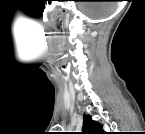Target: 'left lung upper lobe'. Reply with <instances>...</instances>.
Returning <instances> with one entry per match:
<instances>
[{"mask_svg":"<svg viewBox=\"0 0 145 134\" xmlns=\"http://www.w3.org/2000/svg\"><path fill=\"white\" fill-rule=\"evenodd\" d=\"M103 133L105 132L102 130V127L98 122L91 120V117L89 115L84 116L82 134H103Z\"/></svg>","mask_w":145,"mask_h":134,"instance_id":"1","label":"left lung upper lobe"}]
</instances>
